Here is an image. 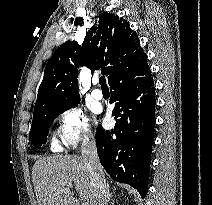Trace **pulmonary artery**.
<instances>
[{
	"instance_id": "pulmonary-artery-1",
	"label": "pulmonary artery",
	"mask_w": 212,
	"mask_h": 205,
	"mask_svg": "<svg viewBox=\"0 0 212 205\" xmlns=\"http://www.w3.org/2000/svg\"><path fill=\"white\" fill-rule=\"evenodd\" d=\"M97 82H98L97 79H94V80H93V84H94V85H96ZM91 95H92V97H93L94 99H96V100H101V99H103V93H102V91H101L100 89H97V88L93 89L92 92H91Z\"/></svg>"
}]
</instances>
